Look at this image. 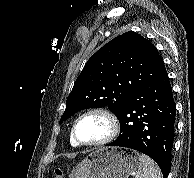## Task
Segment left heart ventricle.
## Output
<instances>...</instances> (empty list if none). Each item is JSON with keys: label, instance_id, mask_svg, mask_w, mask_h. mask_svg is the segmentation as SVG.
Here are the masks:
<instances>
[{"label": "left heart ventricle", "instance_id": "left-heart-ventricle-1", "mask_svg": "<svg viewBox=\"0 0 194 178\" xmlns=\"http://www.w3.org/2000/svg\"><path fill=\"white\" fill-rule=\"evenodd\" d=\"M109 126L100 115H89L77 125V137L83 142H95L106 136Z\"/></svg>", "mask_w": 194, "mask_h": 178}]
</instances>
